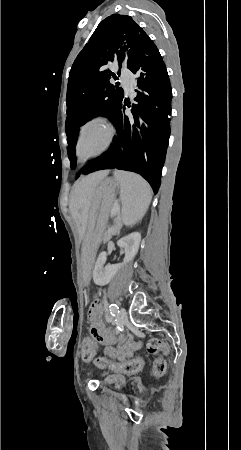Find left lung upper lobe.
I'll use <instances>...</instances> for the list:
<instances>
[{
  "label": "left lung upper lobe",
  "instance_id": "obj_1",
  "mask_svg": "<svg viewBox=\"0 0 241 450\" xmlns=\"http://www.w3.org/2000/svg\"><path fill=\"white\" fill-rule=\"evenodd\" d=\"M155 44L131 17L113 14L105 18L76 57L69 73L66 104L68 157L75 168L79 127L101 115L113 119L123 100V89L112 85L109 63L131 64Z\"/></svg>",
  "mask_w": 241,
  "mask_h": 450
}]
</instances>
